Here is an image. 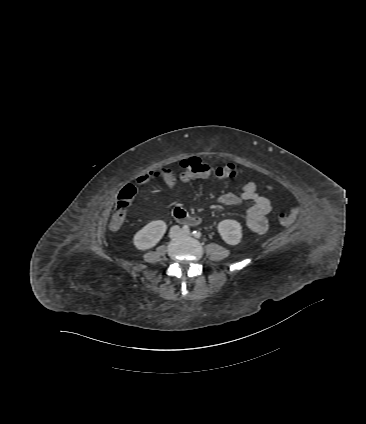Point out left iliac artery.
Listing matches in <instances>:
<instances>
[{
    "mask_svg": "<svg viewBox=\"0 0 366 424\" xmlns=\"http://www.w3.org/2000/svg\"><path fill=\"white\" fill-rule=\"evenodd\" d=\"M193 235H194L196 238H200V237H201V232H200V231H194V232H193Z\"/></svg>",
    "mask_w": 366,
    "mask_h": 424,
    "instance_id": "obj_1",
    "label": "left iliac artery"
}]
</instances>
